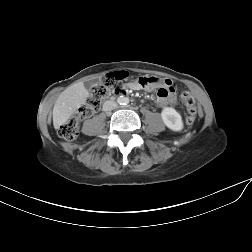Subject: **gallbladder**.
<instances>
[{"instance_id": "gallbladder-1", "label": "gallbladder", "mask_w": 252, "mask_h": 252, "mask_svg": "<svg viewBox=\"0 0 252 252\" xmlns=\"http://www.w3.org/2000/svg\"><path fill=\"white\" fill-rule=\"evenodd\" d=\"M91 83L86 82L85 87L89 88Z\"/></svg>"}]
</instances>
